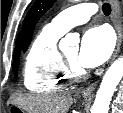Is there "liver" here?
Listing matches in <instances>:
<instances>
[{"label":"liver","instance_id":"liver-1","mask_svg":"<svg viewBox=\"0 0 123 113\" xmlns=\"http://www.w3.org/2000/svg\"><path fill=\"white\" fill-rule=\"evenodd\" d=\"M29 113H67L73 103L70 93L55 95H18L11 101Z\"/></svg>","mask_w":123,"mask_h":113}]
</instances>
